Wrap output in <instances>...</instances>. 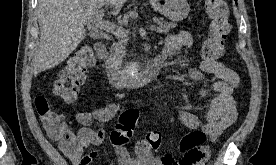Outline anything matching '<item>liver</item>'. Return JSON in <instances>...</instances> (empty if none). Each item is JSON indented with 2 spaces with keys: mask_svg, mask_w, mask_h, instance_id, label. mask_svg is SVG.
<instances>
[{
  "mask_svg": "<svg viewBox=\"0 0 276 165\" xmlns=\"http://www.w3.org/2000/svg\"><path fill=\"white\" fill-rule=\"evenodd\" d=\"M126 0H39L40 43L32 62L34 76L62 63L85 39L84 26L106 5L117 15Z\"/></svg>",
  "mask_w": 276,
  "mask_h": 165,
  "instance_id": "1",
  "label": "liver"
}]
</instances>
